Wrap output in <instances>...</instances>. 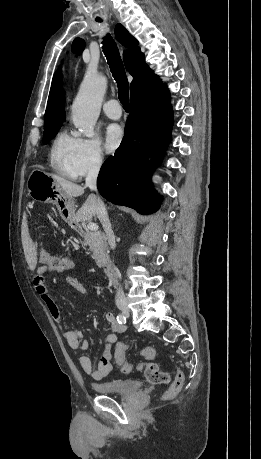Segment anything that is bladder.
I'll return each instance as SVG.
<instances>
[{
  "instance_id": "bladder-1",
  "label": "bladder",
  "mask_w": 261,
  "mask_h": 459,
  "mask_svg": "<svg viewBox=\"0 0 261 459\" xmlns=\"http://www.w3.org/2000/svg\"><path fill=\"white\" fill-rule=\"evenodd\" d=\"M142 383L138 379H113L94 383L93 389L100 394L127 395L140 390Z\"/></svg>"
}]
</instances>
